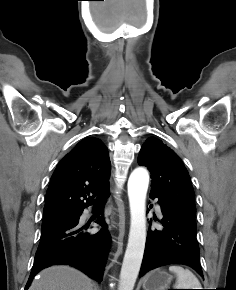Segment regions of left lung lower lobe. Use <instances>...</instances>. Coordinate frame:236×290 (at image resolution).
Instances as JSON below:
<instances>
[{
	"instance_id": "1",
	"label": "left lung lower lobe",
	"mask_w": 236,
	"mask_h": 290,
	"mask_svg": "<svg viewBox=\"0 0 236 290\" xmlns=\"http://www.w3.org/2000/svg\"><path fill=\"white\" fill-rule=\"evenodd\" d=\"M152 199L157 196L150 194ZM163 218V229H149L139 277L167 264H185L203 277L196 223L176 212L168 203L158 200Z\"/></svg>"
}]
</instances>
